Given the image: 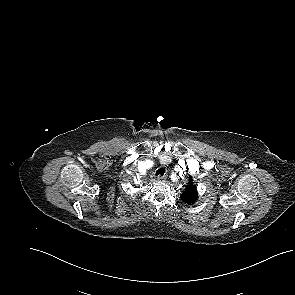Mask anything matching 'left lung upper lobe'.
Segmentation results:
<instances>
[{
    "label": "left lung upper lobe",
    "mask_w": 295,
    "mask_h": 295,
    "mask_svg": "<svg viewBox=\"0 0 295 295\" xmlns=\"http://www.w3.org/2000/svg\"><path fill=\"white\" fill-rule=\"evenodd\" d=\"M197 198H198L197 187L194 184L191 176H189V183L186 185L183 193L181 194V200L184 203L192 204V203H195Z\"/></svg>",
    "instance_id": "5c2ea615"
}]
</instances>
